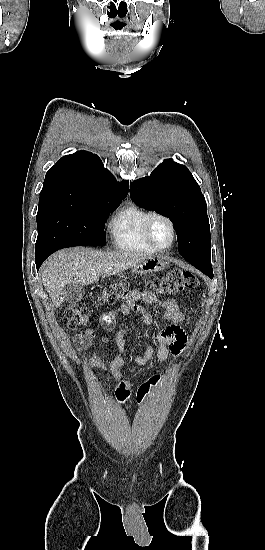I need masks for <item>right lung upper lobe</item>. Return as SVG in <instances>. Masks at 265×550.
<instances>
[{"mask_svg":"<svg viewBox=\"0 0 265 550\" xmlns=\"http://www.w3.org/2000/svg\"><path fill=\"white\" fill-rule=\"evenodd\" d=\"M128 191L129 183H117L97 155L78 151L63 156L49 169L39 199H124Z\"/></svg>","mask_w":265,"mask_h":550,"instance_id":"right-lung-upper-lobe-1","label":"right lung upper lobe"}]
</instances>
